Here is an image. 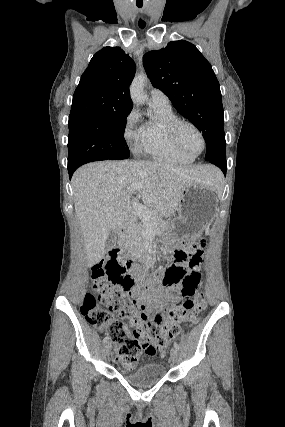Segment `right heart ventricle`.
Returning a JSON list of instances; mask_svg holds the SVG:
<instances>
[{
  "mask_svg": "<svg viewBox=\"0 0 285 427\" xmlns=\"http://www.w3.org/2000/svg\"><path fill=\"white\" fill-rule=\"evenodd\" d=\"M156 118L150 119L140 127L138 150L161 162L187 164L194 157L181 153L173 144L167 131L168 125L178 119L170 105L151 103Z\"/></svg>",
  "mask_w": 285,
  "mask_h": 427,
  "instance_id": "obj_1",
  "label": "right heart ventricle"
}]
</instances>
